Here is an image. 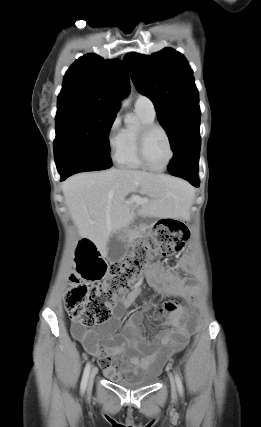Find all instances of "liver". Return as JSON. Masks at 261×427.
Returning <instances> with one entry per match:
<instances>
[{"mask_svg":"<svg viewBox=\"0 0 261 427\" xmlns=\"http://www.w3.org/2000/svg\"><path fill=\"white\" fill-rule=\"evenodd\" d=\"M137 190L147 202L125 199ZM62 192L79 236L91 240L102 256L111 234L127 228L136 215L185 219L194 197L192 187L179 178L115 168L76 174L62 184Z\"/></svg>","mask_w":261,"mask_h":427,"instance_id":"liver-1","label":"liver"}]
</instances>
